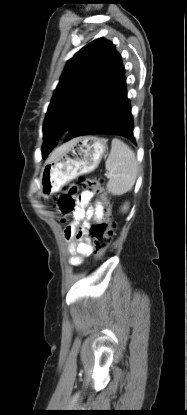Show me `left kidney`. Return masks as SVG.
Returning <instances> with one entry per match:
<instances>
[{"mask_svg":"<svg viewBox=\"0 0 187 415\" xmlns=\"http://www.w3.org/2000/svg\"><path fill=\"white\" fill-rule=\"evenodd\" d=\"M128 207L127 206H124V210H126Z\"/></svg>","mask_w":187,"mask_h":415,"instance_id":"left-kidney-1","label":"left kidney"}]
</instances>
